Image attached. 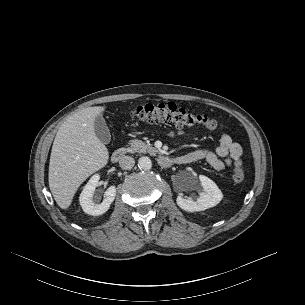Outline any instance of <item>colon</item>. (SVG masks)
Masks as SVG:
<instances>
[{
	"label": "colon",
	"mask_w": 305,
	"mask_h": 305,
	"mask_svg": "<svg viewBox=\"0 0 305 305\" xmlns=\"http://www.w3.org/2000/svg\"><path fill=\"white\" fill-rule=\"evenodd\" d=\"M131 116L143 123H162L176 127L203 126L209 130L216 131L221 124L203 114H197L177 106L172 102L161 104H146L134 107ZM245 179V172L242 168L235 169L233 180L241 183Z\"/></svg>",
	"instance_id": "colon-1"
}]
</instances>
